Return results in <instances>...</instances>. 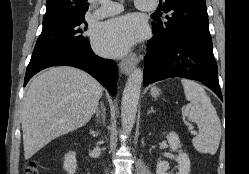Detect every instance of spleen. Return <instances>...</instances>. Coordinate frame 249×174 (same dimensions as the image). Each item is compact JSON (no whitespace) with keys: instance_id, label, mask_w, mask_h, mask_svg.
I'll use <instances>...</instances> for the list:
<instances>
[{"instance_id":"spleen-1","label":"spleen","mask_w":249,"mask_h":174,"mask_svg":"<svg viewBox=\"0 0 249 174\" xmlns=\"http://www.w3.org/2000/svg\"><path fill=\"white\" fill-rule=\"evenodd\" d=\"M185 97L191 103L189 121L199 127V135L192 140L193 146L200 153L214 155L221 139V122L210 97L197 82L183 79Z\"/></svg>"}]
</instances>
